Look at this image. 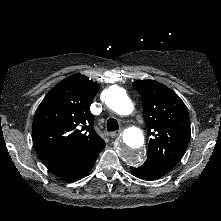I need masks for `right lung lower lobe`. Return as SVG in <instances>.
Here are the masks:
<instances>
[{
  "label": "right lung lower lobe",
  "mask_w": 221,
  "mask_h": 221,
  "mask_svg": "<svg viewBox=\"0 0 221 221\" xmlns=\"http://www.w3.org/2000/svg\"><path fill=\"white\" fill-rule=\"evenodd\" d=\"M105 144L101 145L99 148L87 153L82 158L63 165L50 169L55 175L66 180V181H76L85 176L94 166L95 161L99 153L103 150Z\"/></svg>",
  "instance_id": "obj_1"
}]
</instances>
